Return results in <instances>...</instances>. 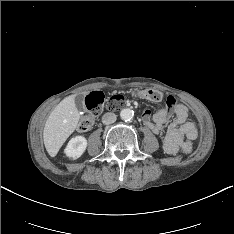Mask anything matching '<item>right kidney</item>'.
I'll use <instances>...</instances> for the list:
<instances>
[{
  "label": "right kidney",
  "instance_id": "obj_1",
  "mask_svg": "<svg viewBox=\"0 0 234 234\" xmlns=\"http://www.w3.org/2000/svg\"><path fill=\"white\" fill-rule=\"evenodd\" d=\"M86 147H87L86 138L84 136H77L75 138H72L68 142L64 150V153L68 157H72L73 159H78L85 152Z\"/></svg>",
  "mask_w": 234,
  "mask_h": 234
}]
</instances>
